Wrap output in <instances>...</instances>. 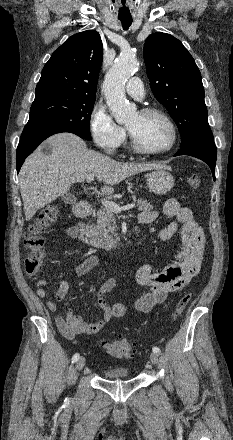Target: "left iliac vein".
Instances as JSON below:
<instances>
[{
  "label": "left iliac vein",
  "instance_id": "left-iliac-vein-1",
  "mask_svg": "<svg viewBox=\"0 0 233 440\" xmlns=\"http://www.w3.org/2000/svg\"><path fill=\"white\" fill-rule=\"evenodd\" d=\"M150 360L153 364H155V365L158 364V362H159L158 355L155 352H152L150 354Z\"/></svg>",
  "mask_w": 233,
  "mask_h": 440
}]
</instances>
